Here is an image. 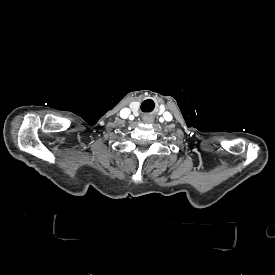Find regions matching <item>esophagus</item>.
I'll use <instances>...</instances> for the list:
<instances>
[{
	"label": "esophagus",
	"mask_w": 275,
	"mask_h": 275,
	"mask_svg": "<svg viewBox=\"0 0 275 275\" xmlns=\"http://www.w3.org/2000/svg\"><path fill=\"white\" fill-rule=\"evenodd\" d=\"M142 119L145 123H148V124L154 121V117L151 115H144Z\"/></svg>",
	"instance_id": "34e87169"
}]
</instances>
